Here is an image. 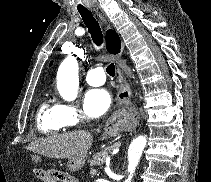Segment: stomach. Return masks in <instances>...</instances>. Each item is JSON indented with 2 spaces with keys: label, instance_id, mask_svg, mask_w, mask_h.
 Returning a JSON list of instances; mask_svg holds the SVG:
<instances>
[{
  "label": "stomach",
  "instance_id": "1",
  "mask_svg": "<svg viewBox=\"0 0 211 182\" xmlns=\"http://www.w3.org/2000/svg\"><path fill=\"white\" fill-rule=\"evenodd\" d=\"M106 134H108V135H115V131L110 130ZM84 163H85V157L71 158V159H68L67 168L70 171L75 172V171L80 170L83 167Z\"/></svg>",
  "mask_w": 211,
  "mask_h": 182
}]
</instances>
